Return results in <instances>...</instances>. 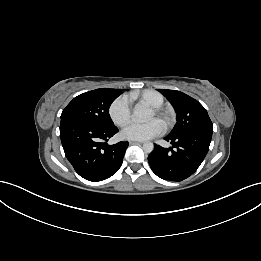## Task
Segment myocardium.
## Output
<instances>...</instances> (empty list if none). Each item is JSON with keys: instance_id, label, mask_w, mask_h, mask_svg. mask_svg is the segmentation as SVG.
<instances>
[{"instance_id": "1", "label": "myocardium", "mask_w": 261, "mask_h": 261, "mask_svg": "<svg viewBox=\"0 0 261 261\" xmlns=\"http://www.w3.org/2000/svg\"><path fill=\"white\" fill-rule=\"evenodd\" d=\"M152 111L154 112V114L158 117H160L163 121V123L168 126L169 123L171 122V114L169 111L164 110L160 107H153Z\"/></svg>"}]
</instances>
